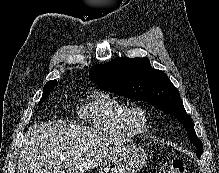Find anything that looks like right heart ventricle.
Masks as SVG:
<instances>
[{"label":"right heart ventricle","instance_id":"1","mask_svg":"<svg viewBox=\"0 0 219 173\" xmlns=\"http://www.w3.org/2000/svg\"><path fill=\"white\" fill-rule=\"evenodd\" d=\"M129 105L105 91H94L78 107L79 117L87 124L114 134L136 136L139 131L129 120Z\"/></svg>","mask_w":219,"mask_h":173}]
</instances>
